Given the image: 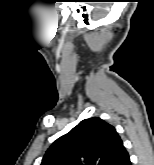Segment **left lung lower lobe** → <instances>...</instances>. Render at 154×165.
<instances>
[{"mask_svg": "<svg viewBox=\"0 0 154 165\" xmlns=\"http://www.w3.org/2000/svg\"><path fill=\"white\" fill-rule=\"evenodd\" d=\"M116 165H131L129 155L124 147L120 151V156Z\"/></svg>", "mask_w": 154, "mask_h": 165, "instance_id": "1", "label": "left lung lower lobe"}]
</instances>
